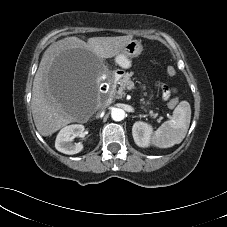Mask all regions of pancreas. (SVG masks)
Listing matches in <instances>:
<instances>
[{"instance_id": "1", "label": "pancreas", "mask_w": 227, "mask_h": 227, "mask_svg": "<svg viewBox=\"0 0 227 227\" xmlns=\"http://www.w3.org/2000/svg\"><path fill=\"white\" fill-rule=\"evenodd\" d=\"M132 75H133V72H127V73L124 74V76L121 79H119L118 81H116V84L119 85V88H118V90H116V91L113 92V96H115L116 98H121V97H123L125 95V92L124 91L127 88L130 87V84L132 82L131 81V76ZM141 103L144 104V105L146 104L145 101H144V99H141ZM142 108H144V107L142 106ZM149 115L151 117H153V118H156L158 116V114L157 113H154L153 111H150L149 112Z\"/></svg>"}]
</instances>
